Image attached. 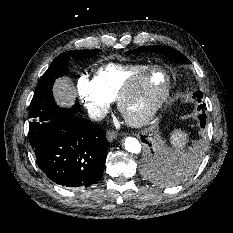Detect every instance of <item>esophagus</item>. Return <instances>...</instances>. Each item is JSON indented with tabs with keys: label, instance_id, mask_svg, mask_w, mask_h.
<instances>
[{
	"label": "esophagus",
	"instance_id": "esophagus-1",
	"mask_svg": "<svg viewBox=\"0 0 233 233\" xmlns=\"http://www.w3.org/2000/svg\"><path fill=\"white\" fill-rule=\"evenodd\" d=\"M106 137L109 142H112L117 137V133L113 130H108L106 133Z\"/></svg>",
	"mask_w": 233,
	"mask_h": 233
}]
</instances>
